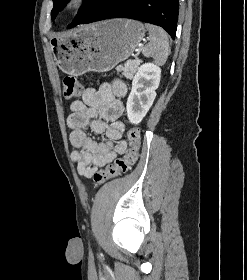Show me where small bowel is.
Masks as SVG:
<instances>
[{
  "label": "small bowel",
  "mask_w": 247,
  "mask_h": 280,
  "mask_svg": "<svg viewBox=\"0 0 247 280\" xmlns=\"http://www.w3.org/2000/svg\"><path fill=\"white\" fill-rule=\"evenodd\" d=\"M127 93L126 84L121 80L102 83L97 89L88 88L81 100L70 104L71 113L67 118L71 129V144L76 148L71 158L77 164V171L86 178H92L99 168L112 162L126 149L122 140L125 125L120 120L124 106L121 101ZM105 134V142H96L86 131Z\"/></svg>",
  "instance_id": "obj_1"
}]
</instances>
